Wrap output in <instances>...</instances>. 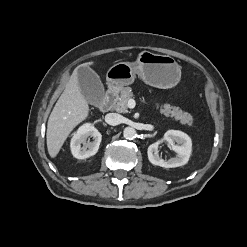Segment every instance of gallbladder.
<instances>
[{
  "instance_id": "bac80fb5",
  "label": "gallbladder",
  "mask_w": 247,
  "mask_h": 247,
  "mask_svg": "<svg viewBox=\"0 0 247 247\" xmlns=\"http://www.w3.org/2000/svg\"><path fill=\"white\" fill-rule=\"evenodd\" d=\"M80 91L85 100L98 107L102 103L105 90L98 74L88 66L77 68Z\"/></svg>"
}]
</instances>
